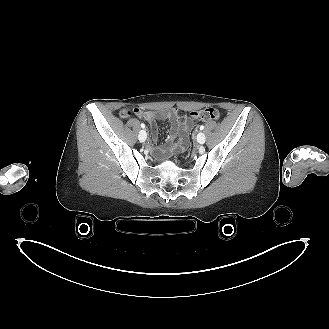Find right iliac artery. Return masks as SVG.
<instances>
[{"instance_id": "1", "label": "right iliac artery", "mask_w": 329, "mask_h": 329, "mask_svg": "<svg viewBox=\"0 0 329 329\" xmlns=\"http://www.w3.org/2000/svg\"><path fill=\"white\" fill-rule=\"evenodd\" d=\"M141 127H142V128H145V124H144V123H142V124H141Z\"/></svg>"}]
</instances>
